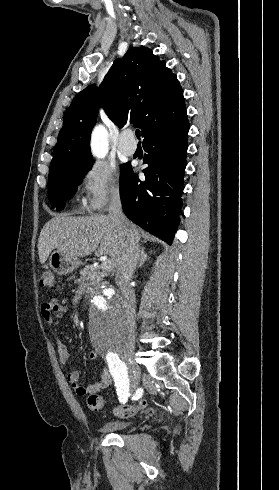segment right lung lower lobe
Wrapping results in <instances>:
<instances>
[{
	"label": "right lung lower lobe",
	"mask_w": 279,
	"mask_h": 490,
	"mask_svg": "<svg viewBox=\"0 0 279 490\" xmlns=\"http://www.w3.org/2000/svg\"><path fill=\"white\" fill-rule=\"evenodd\" d=\"M189 121L143 141L145 181L131 166L120 185L125 215L151 234L171 244L179 223L187 156Z\"/></svg>",
	"instance_id": "1"
}]
</instances>
